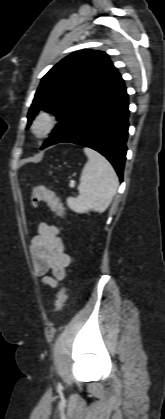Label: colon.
<instances>
[{
	"label": "colon",
	"instance_id": "5ec220e1",
	"mask_svg": "<svg viewBox=\"0 0 165 419\" xmlns=\"http://www.w3.org/2000/svg\"><path fill=\"white\" fill-rule=\"evenodd\" d=\"M31 198L34 205L38 203H44L57 216L61 218L64 217V209L61 203L59 202V200L56 198L53 191L45 187L38 186L32 190ZM66 291H67V287L66 285H63L60 287L57 293V297L55 301V310L57 312L60 311L65 304Z\"/></svg>",
	"mask_w": 165,
	"mask_h": 419
}]
</instances>
